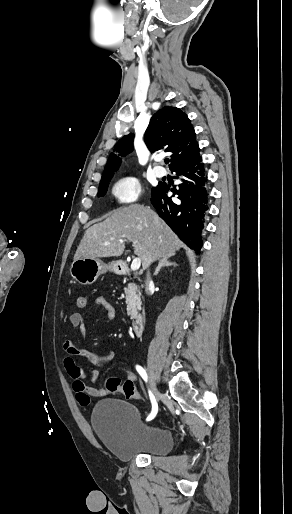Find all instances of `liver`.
Segmentation results:
<instances>
[{"mask_svg": "<svg viewBox=\"0 0 292 514\" xmlns=\"http://www.w3.org/2000/svg\"><path fill=\"white\" fill-rule=\"evenodd\" d=\"M108 216L104 222L86 230L74 260L122 256L125 244L119 240H130L134 254L139 256L142 268L146 270L155 260L175 256L182 244L169 226L144 206L131 204L128 208L114 210Z\"/></svg>", "mask_w": 292, "mask_h": 514, "instance_id": "liver-1", "label": "liver"}]
</instances>
